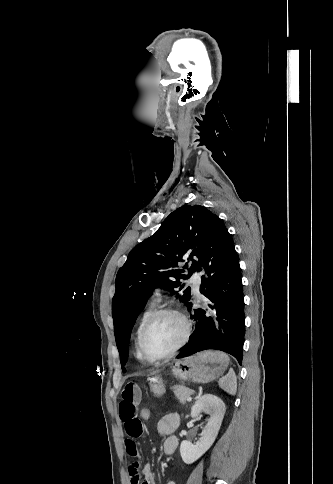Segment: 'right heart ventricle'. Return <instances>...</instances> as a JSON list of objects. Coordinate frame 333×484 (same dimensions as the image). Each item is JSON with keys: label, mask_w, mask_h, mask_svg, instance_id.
I'll return each instance as SVG.
<instances>
[{"label": "right heart ventricle", "mask_w": 333, "mask_h": 484, "mask_svg": "<svg viewBox=\"0 0 333 484\" xmlns=\"http://www.w3.org/2000/svg\"><path fill=\"white\" fill-rule=\"evenodd\" d=\"M156 311V303L154 302H151L148 304V306L145 308V310L143 311L138 323H137V326H136V329H135V334H134V351H135V355L136 357L142 361V362H147L143 356L141 355L140 353V349H139V340H140V334H141V331H142V328L144 326V324L146 323V321L148 320V318Z\"/></svg>", "instance_id": "1"}]
</instances>
